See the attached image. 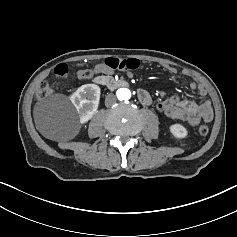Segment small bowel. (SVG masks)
Instances as JSON below:
<instances>
[{"label":"small bowel","instance_id":"1","mask_svg":"<svg viewBox=\"0 0 237 237\" xmlns=\"http://www.w3.org/2000/svg\"><path fill=\"white\" fill-rule=\"evenodd\" d=\"M166 70L175 74L177 69L174 66H166ZM113 69L109 68L105 63L97 64L93 69L80 70L78 78L89 79L95 74H110ZM185 75H190L187 70H184ZM190 87L197 90L201 97H206L207 90L203 84L196 80L191 81ZM137 98L144 106L153 104L151 94L145 89L137 91ZM156 109L166 115L171 120H180L186 122L190 126H196L200 122H210L213 119V109L211 102L206 100L202 103H196L192 100L181 99L178 96L170 97L156 103Z\"/></svg>","mask_w":237,"mask_h":237}]
</instances>
